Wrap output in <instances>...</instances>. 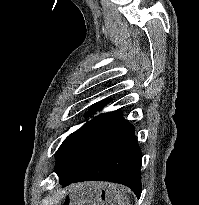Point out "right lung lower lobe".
<instances>
[{
	"label": "right lung lower lobe",
	"instance_id": "98d812e1",
	"mask_svg": "<svg viewBox=\"0 0 199 205\" xmlns=\"http://www.w3.org/2000/svg\"><path fill=\"white\" fill-rule=\"evenodd\" d=\"M132 124L124 123L103 143L92 148L64 169L63 187L82 181H110L128 186L141 195L142 154Z\"/></svg>",
	"mask_w": 199,
	"mask_h": 205
}]
</instances>
